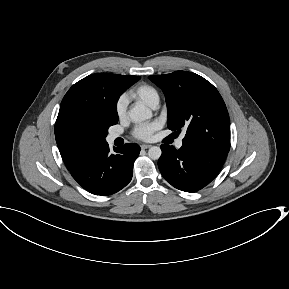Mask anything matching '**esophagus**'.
<instances>
[{
	"label": "esophagus",
	"mask_w": 289,
	"mask_h": 289,
	"mask_svg": "<svg viewBox=\"0 0 289 289\" xmlns=\"http://www.w3.org/2000/svg\"><path fill=\"white\" fill-rule=\"evenodd\" d=\"M150 147H151V145H149V144H142L141 145V149H148Z\"/></svg>",
	"instance_id": "34e87169"
}]
</instances>
